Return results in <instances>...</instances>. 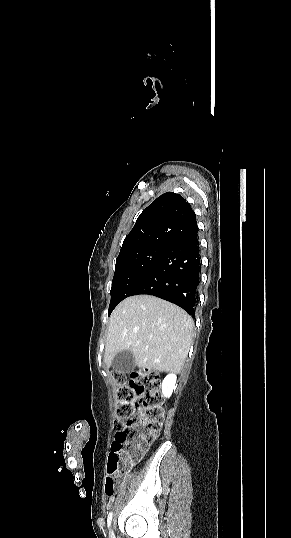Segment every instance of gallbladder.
<instances>
[{
    "label": "gallbladder",
    "mask_w": 291,
    "mask_h": 538,
    "mask_svg": "<svg viewBox=\"0 0 291 538\" xmlns=\"http://www.w3.org/2000/svg\"><path fill=\"white\" fill-rule=\"evenodd\" d=\"M113 369L119 373H129L136 366L134 354L129 350L117 353L112 360Z\"/></svg>",
    "instance_id": "obj_1"
}]
</instances>
